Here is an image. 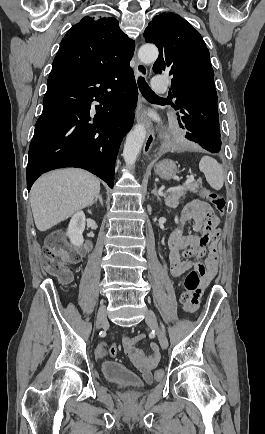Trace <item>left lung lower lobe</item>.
Returning a JSON list of instances; mask_svg holds the SVG:
<instances>
[{"label": "left lung lower lobe", "instance_id": "0a47b994", "mask_svg": "<svg viewBox=\"0 0 265 434\" xmlns=\"http://www.w3.org/2000/svg\"><path fill=\"white\" fill-rule=\"evenodd\" d=\"M186 138L198 144L203 149L218 153L221 151L220 131H210L208 129H187Z\"/></svg>", "mask_w": 265, "mask_h": 434}]
</instances>
